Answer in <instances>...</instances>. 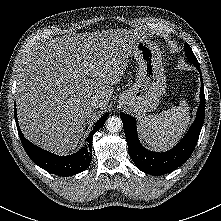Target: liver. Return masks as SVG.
Listing matches in <instances>:
<instances>
[{
    "mask_svg": "<svg viewBox=\"0 0 221 221\" xmlns=\"http://www.w3.org/2000/svg\"><path fill=\"white\" fill-rule=\"evenodd\" d=\"M126 29L68 34L39 45L18 74L20 128L34 144L59 155L73 152L98 100L105 110L136 43Z\"/></svg>",
    "mask_w": 221,
    "mask_h": 221,
    "instance_id": "liver-1",
    "label": "liver"
}]
</instances>
